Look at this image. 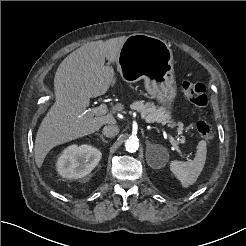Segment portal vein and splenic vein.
Wrapping results in <instances>:
<instances>
[{"label": "portal vein and splenic vein", "mask_w": 246, "mask_h": 246, "mask_svg": "<svg viewBox=\"0 0 246 246\" xmlns=\"http://www.w3.org/2000/svg\"><path fill=\"white\" fill-rule=\"evenodd\" d=\"M91 113L94 114V115H105L108 113V107L106 104H101L100 106L98 107H95V108H92L91 109ZM182 132V130H178V133L180 134ZM170 142L171 144L173 145V147L176 149V151L182 155V151L181 149L179 148L178 146V142L173 138V137H170Z\"/></svg>", "instance_id": "obj_1"}]
</instances>
